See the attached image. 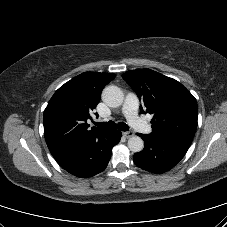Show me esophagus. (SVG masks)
<instances>
[{
	"instance_id": "1",
	"label": "esophagus",
	"mask_w": 227,
	"mask_h": 227,
	"mask_svg": "<svg viewBox=\"0 0 227 227\" xmlns=\"http://www.w3.org/2000/svg\"><path fill=\"white\" fill-rule=\"evenodd\" d=\"M123 135L126 138H130V137L134 136V132L133 131H126V132H123Z\"/></svg>"
}]
</instances>
